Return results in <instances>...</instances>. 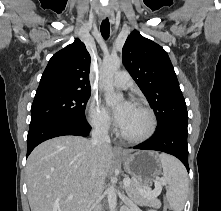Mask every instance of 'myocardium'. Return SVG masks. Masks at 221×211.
<instances>
[{
    "instance_id": "f54148a6",
    "label": "myocardium",
    "mask_w": 221,
    "mask_h": 211,
    "mask_svg": "<svg viewBox=\"0 0 221 211\" xmlns=\"http://www.w3.org/2000/svg\"><path fill=\"white\" fill-rule=\"evenodd\" d=\"M134 105L138 106L139 108H141L142 110H144L146 112V114L148 115L149 117V127H148V130L146 131L145 134L141 135V136H136V137H133V136H129V135H126L125 133H123L121 131V129L118 130V135L128 141V142H131V143H141V142H144L146 140H148L149 138L152 137V135L154 134L155 132V129H156V116L153 112V110L148 106L146 105L145 103L139 101V100H136L133 102Z\"/></svg>"
}]
</instances>
